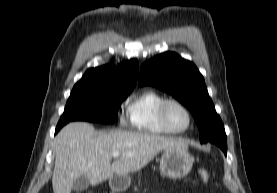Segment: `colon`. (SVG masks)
I'll return each instance as SVG.
<instances>
[{
	"label": "colon",
	"mask_w": 277,
	"mask_h": 193,
	"mask_svg": "<svg viewBox=\"0 0 277 193\" xmlns=\"http://www.w3.org/2000/svg\"><path fill=\"white\" fill-rule=\"evenodd\" d=\"M199 176L201 178V180L205 183H207L210 179V174L207 170L205 169H200L199 170Z\"/></svg>",
	"instance_id": "colon-1"
}]
</instances>
